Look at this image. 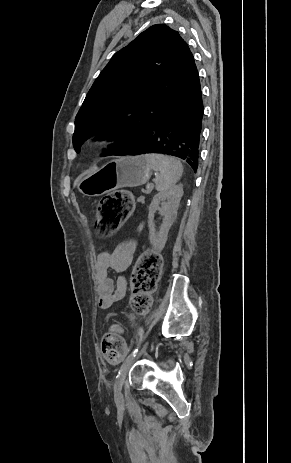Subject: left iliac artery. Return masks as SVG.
Segmentation results:
<instances>
[{
    "label": "left iliac artery",
    "mask_w": 291,
    "mask_h": 463,
    "mask_svg": "<svg viewBox=\"0 0 291 463\" xmlns=\"http://www.w3.org/2000/svg\"><path fill=\"white\" fill-rule=\"evenodd\" d=\"M138 352V348H135L130 354L129 356L125 359V361L123 362V364L121 365L120 367V370H119V374L120 372L125 368V366H127L129 363L132 362L133 358L136 356V353Z\"/></svg>",
    "instance_id": "left-iliac-artery-1"
}]
</instances>
